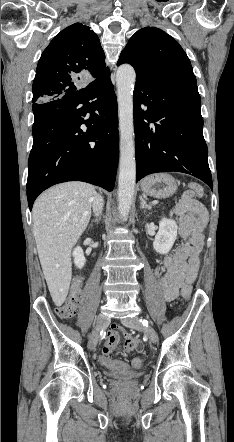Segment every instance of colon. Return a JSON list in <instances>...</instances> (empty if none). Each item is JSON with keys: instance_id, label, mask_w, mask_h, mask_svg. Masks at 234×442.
I'll list each match as a JSON object with an SVG mask.
<instances>
[{"instance_id": "5ec220e1", "label": "colon", "mask_w": 234, "mask_h": 442, "mask_svg": "<svg viewBox=\"0 0 234 442\" xmlns=\"http://www.w3.org/2000/svg\"><path fill=\"white\" fill-rule=\"evenodd\" d=\"M189 190L198 197L203 195V187L197 182H190L188 184ZM83 279L82 277H77L70 288V293L66 301L56 309V313L60 318L68 319L75 315L76 309L79 303V295L82 290ZM191 287L185 285L182 288V296L188 299L191 295ZM134 342V341H133ZM136 351V350H135ZM97 360L106 367L112 369L114 372L124 373L130 370V363L127 360L115 359L114 352L112 350L106 349L102 352L97 353ZM132 368L135 371L140 370L143 362L140 357L132 358Z\"/></svg>"}]
</instances>
